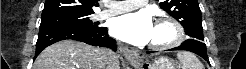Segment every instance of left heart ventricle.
<instances>
[{"instance_id": "obj_1", "label": "left heart ventricle", "mask_w": 246, "mask_h": 69, "mask_svg": "<svg viewBox=\"0 0 246 69\" xmlns=\"http://www.w3.org/2000/svg\"><path fill=\"white\" fill-rule=\"evenodd\" d=\"M173 36L172 30L166 24H156L151 43H163L169 41Z\"/></svg>"}]
</instances>
